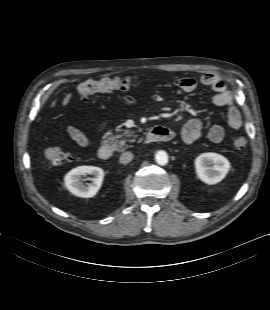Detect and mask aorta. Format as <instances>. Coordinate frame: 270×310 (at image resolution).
<instances>
[{"label": "aorta", "instance_id": "1", "mask_svg": "<svg viewBox=\"0 0 270 310\" xmlns=\"http://www.w3.org/2000/svg\"><path fill=\"white\" fill-rule=\"evenodd\" d=\"M155 160L159 165H166L168 163V154L165 151H158L155 155Z\"/></svg>", "mask_w": 270, "mask_h": 310}]
</instances>
